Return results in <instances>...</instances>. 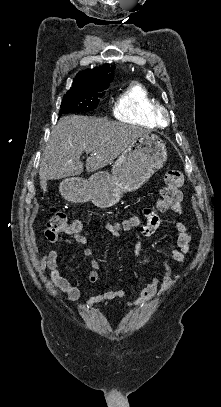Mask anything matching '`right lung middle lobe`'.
<instances>
[{
  "label": "right lung middle lobe",
  "instance_id": "1",
  "mask_svg": "<svg viewBox=\"0 0 221 407\" xmlns=\"http://www.w3.org/2000/svg\"><path fill=\"white\" fill-rule=\"evenodd\" d=\"M104 89L94 91H68L61 103L60 116L72 111H93L98 103L99 98L104 93H100Z\"/></svg>",
  "mask_w": 221,
  "mask_h": 407
}]
</instances>
